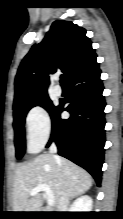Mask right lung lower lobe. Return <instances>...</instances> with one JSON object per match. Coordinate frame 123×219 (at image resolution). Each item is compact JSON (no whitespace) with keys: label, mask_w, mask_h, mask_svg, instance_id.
Listing matches in <instances>:
<instances>
[{"label":"right lung lower lobe","mask_w":123,"mask_h":219,"mask_svg":"<svg viewBox=\"0 0 123 219\" xmlns=\"http://www.w3.org/2000/svg\"><path fill=\"white\" fill-rule=\"evenodd\" d=\"M101 71L96 57L68 80L69 96L61 101L51 116L52 134L58 154L86 169L101 183L105 144V100L102 96ZM69 103L67 107H64ZM62 111L70 113L62 119Z\"/></svg>","instance_id":"1"}]
</instances>
